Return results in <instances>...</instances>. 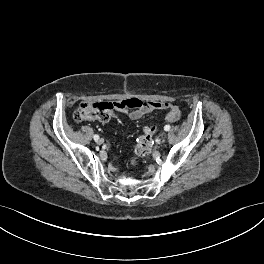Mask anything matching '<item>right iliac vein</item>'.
I'll list each match as a JSON object with an SVG mask.
<instances>
[{
  "label": "right iliac vein",
  "mask_w": 264,
  "mask_h": 264,
  "mask_svg": "<svg viewBox=\"0 0 264 264\" xmlns=\"http://www.w3.org/2000/svg\"><path fill=\"white\" fill-rule=\"evenodd\" d=\"M103 142H104V140H103L102 138H100V139H98V140L96 141V143H97L98 145L103 144Z\"/></svg>",
  "instance_id": "right-iliac-vein-1"
}]
</instances>
